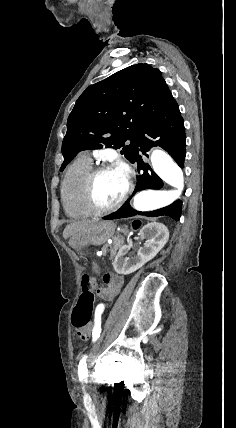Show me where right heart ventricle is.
<instances>
[{
	"mask_svg": "<svg viewBox=\"0 0 236 428\" xmlns=\"http://www.w3.org/2000/svg\"><path fill=\"white\" fill-rule=\"evenodd\" d=\"M93 169L90 157L82 154L67 170L61 185V195L66 212L73 218L86 219L96 212L86 204L83 196L84 181Z\"/></svg>",
	"mask_w": 236,
	"mask_h": 428,
	"instance_id": "e07e8e85",
	"label": "right heart ventricle"
}]
</instances>
